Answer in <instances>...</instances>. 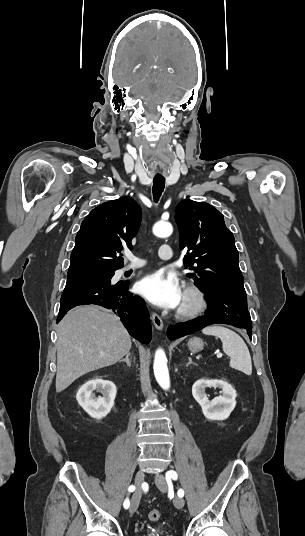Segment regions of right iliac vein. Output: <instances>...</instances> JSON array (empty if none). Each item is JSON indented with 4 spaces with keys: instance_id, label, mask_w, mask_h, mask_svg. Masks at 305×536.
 I'll use <instances>...</instances> for the list:
<instances>
[{
    "instance_id": "1",
    "label": "right iliac vein",
    "mask_w": 305,
    "mask_h": 536,
    "mask_svg": "<svg viewBox=\"0 0 305 536\" xmlns=\"http://www.w3.org/2000/svg\"><path fill=\"white\" fill-rule=\"evenodd\" d=\"M143 482H144V473L142 471H139L136 473V476H135L136 490L131 499V507H130L131 513H135L139 506L141 496H142L141 485L143 484Z\"/></svg>"
}]
</instances>
